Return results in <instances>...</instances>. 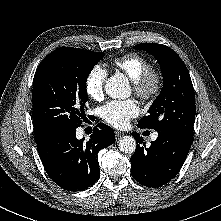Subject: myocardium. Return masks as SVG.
Here are the masks:
<instances>
[{
  "label": "myocardium",
  "instance_id": "myocardium-1",
  "mask_svg": "<svg viewBox=\"0 0 221 221\" xmlns=\"http://www.w3.org/2000/svg\"><path fill=\"white\" fill-rule=\"evenodd\" d=\"M163 75L160 71L150 68L134 81V90L143 100L154 99L162 90Z\"/></svg>",
  "mask_w": 221,
  "mask_h": 221
}]
</instances>
